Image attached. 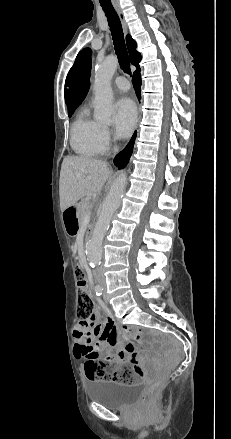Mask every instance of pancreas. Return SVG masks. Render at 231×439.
<instances>
[{"label": "pancreas", "instance_id": "pancreas-1", "mask_svg": "<svg viewBox=\"0 0 231 439\" xmlns=\"http://www.w3.org/2000/svg\"><path fill=\"white\" fill-rule=\"evenodd\" d=\"M79 206H80V219H79V221L81 224H84V222L87 219L86 217H87V214L89 212V209L91 208L90 199L89 198L83 199L80 202Z\"/></svg>", "mask_w": 231, "mask_h": 439}]
</instances>
